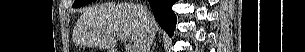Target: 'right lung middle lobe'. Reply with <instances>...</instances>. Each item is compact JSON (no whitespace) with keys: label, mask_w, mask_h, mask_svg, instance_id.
Instances as JSON below:
<instances>
[{"label":"right lung middle lobe","mask_w":305,"mask_h":52,"mask_svg":"<svg viewBox=\"0 0 305 52\" xmlns=\"http://www.w3.org/2000/svg\"><path fill=\"white\" fill-rule=\"evenodd\" d=\"M93 0H75L73 7L77 8V7H81L84 5H87L88 3H91Z\"/></svg>","instance_id":"obj_1"}]
</instances>
